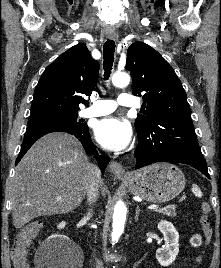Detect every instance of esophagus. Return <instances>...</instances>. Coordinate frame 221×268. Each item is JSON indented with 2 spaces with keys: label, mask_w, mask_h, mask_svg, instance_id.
Segmentation results:
<instances>
[{
  "label": "esophagus",
  "mask_w": 221,
  "mask_h": 268,
  "mask_svg": "<svg viewBox=\"0 0 221 268\" xmlns=\"http://www.w3.org/2000/svg\"><path fill=\"white\" fill-rule=\"evenodd\" d=\"M109 37L111 39H113L115 36L114 35H109ZM110 171L116 178L123 179V178L127 177V174H126L125 169L122 166V164H120V163H118L116 161H112L110 163Z\"/></svg>",
  "instance_id": "1"
}]
</instances>
